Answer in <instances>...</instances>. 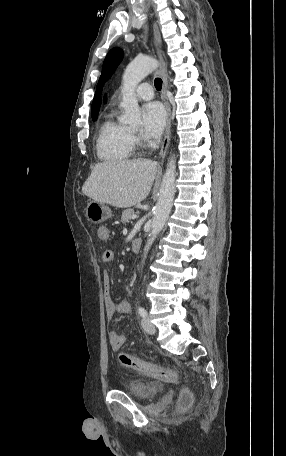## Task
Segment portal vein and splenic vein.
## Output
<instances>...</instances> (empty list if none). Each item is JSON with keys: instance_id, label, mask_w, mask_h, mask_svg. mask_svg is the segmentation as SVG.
Segmentation results:
<instances>
[{"instance_id": "obj_1", "label": "portal vein and splenic vein", "mask_w": 286, "mask_h": 456, "mask_svg": "<svg viewBox=\"0 0 286 456\" xmlns=\"http://www.w3.org/2000/svg\"><path fill=\"white\" fill-rule=\"evenodd\" d=\"M136 218H137V216H136V215H133V216H132V219H136Z\"/></svg>"}]
</instances>
